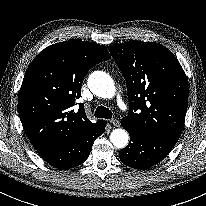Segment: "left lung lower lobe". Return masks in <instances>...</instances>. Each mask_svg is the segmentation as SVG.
I'll list each match as a JSON object with an SVG mask.
<instances>
[{
  "instance_id": "left-lung-lower-lobe-1",
  "label": "left lung lower lobe",
  "mask_w": 206,
  "mask_h": 206,
  "mask_svg": "<svg viewBox=\"0 0 206 206\" xmlns=\"http://www.w3.org/2000/svg\"><path fill=\"white\" fill-rule=\"evenodd\" d=\"M121 124L129 132L128 146L119 151V158L125 165L136 169H147L164 159L177 141L144 133Z\"/></svg>"
}]
</instances>
